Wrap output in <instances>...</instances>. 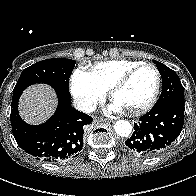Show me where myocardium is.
Returning <instances> with one entry per match:
<instances>
[{
	"instance_id": "f54148a6",
	"label": "myocardium",
	"mask_w": 196,
	"mask_h": 196,
	"mask_svg": "<svg viewBox=\"0 0 196 196\" xmlns=\"http://www.w3.org/2000/svg\"><path fill=\"white\" fill-rule=\"evenodd\" d=\"M143 68H151L155 71L156 73V86L154 89V92L152 94V96L150 97V99L143 105L136 107L134 109H130L128 110V112L130 114L133 115H139L142 114L146 111H148L149 109L152 108V106L155 104V102L158 99L160 90H161V85H162V75L160 70L152 63H141L135 67H133L132 69H130L129 71H127L125 74H123L110 88L109 90V94H110V98L112 100H114L115 95L117 94V92H119L123 87H125L127 85V83L131 80V78L141 69Z\"/></svg>"
}]
</instances>
